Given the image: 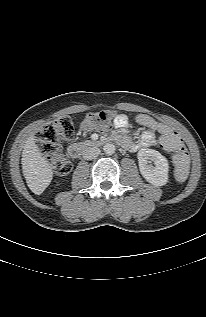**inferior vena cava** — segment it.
<instances>
[{
  "label": "inferior vena cava",
  "mask_w": 206,
  "mask_h": 317,
  "mask_svg": "<svg viewBox=\"0 0 206 317\" xmlns=\"http://www.w3.org/2000/svg\"><path fill=\"white\" fill-rule=\"evenodd\" d=\"M99 154H100V149L94 146H87L82 152L83 158L85 160H91L97 157Z\"/></svg>",
  "instance_id": "602c4592"
}]
</instances>
